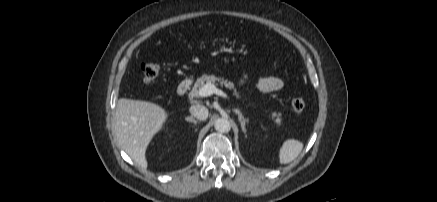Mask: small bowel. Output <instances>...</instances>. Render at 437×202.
<instances>
[{
	"mask_svg": "<svg viewBox=\"0 0 437 202\" xmlns=\"http://www.w3.org/2000/svg\"><path fill=\"white\" fill-rule=\"evenodd\" d=\"M275 64V63H274ZM246 79H242L241 84H245ZM284 87V81L276 76H263L257 81V88L265 93L281 90Z\"/></svg>",
	"mask_w": 437,
	"mask_h": 202,
	"instance_id": "small-bowel-1",
	"label": "small bowel"
}]
</instances>
